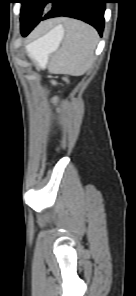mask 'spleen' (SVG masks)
<instances>
[{"mask_svg": "<svg viewBox=\"0 0 136 296\" xmlns=\"http://www.w3.org/2000/svg\"><path fill=\"white\" fill-rule=\"evenodd\" d=\"M61 28L62 39L64 28ZM98 42V34L90 25L77 20H70L66 29V35L61 50L50 66L54 73L69 74L72 76L83 75L92 65L94 51ZM60 44V43H59ZM41 68L45 63L41 57H37Z\"/></svg>", "mask_w": 136, "mask_h": 296, "instance_id": "1", "label": "spleen"}]
</instances>
